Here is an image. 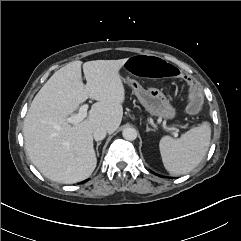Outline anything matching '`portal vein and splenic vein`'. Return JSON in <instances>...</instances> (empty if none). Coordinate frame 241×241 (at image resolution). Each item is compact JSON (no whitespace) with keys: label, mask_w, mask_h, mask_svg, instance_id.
<instances>
[{"label":"portal vein and splenic vein","mask_w":241,"mask_h":241,"mask_svg":"<svg viewBox=\"0 0 241 241\" xmlns=\"http://www.w3.org/2000/svg\"><path fill=\"white\" fill-rule=\"evenodd\" d=\"M89 105L88 104H83L80 109L79 112L75 115H72L70 117H68L66 120L68 123H71L73 125L83 121L86 117H87V110H88Z\"/></svg>","instance_id":"obj_1"}]
</instances>
